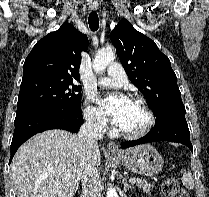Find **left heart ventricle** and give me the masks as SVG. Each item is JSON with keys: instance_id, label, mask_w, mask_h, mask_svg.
<instances>
[{"instance_id": "b2bd125f", "label": "left heart ventricle", "mask_w": 209, "mask_h": 197, "mask_svg": "<svg viewBox=\"0 0 209 197\" xmlns=\"http://www.w3.org/2000/svg\"><path fill=\"white\" fill-rule=\"evenodd\" d=\"M146 120V113L142 106L137 102H133V107L129 112L127 119L119 127L125 131H136L145 124Z\"/></svg>"}]
</instances>
